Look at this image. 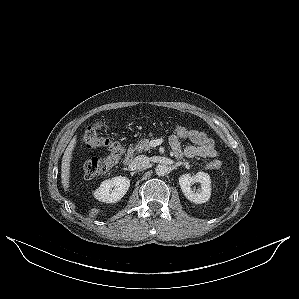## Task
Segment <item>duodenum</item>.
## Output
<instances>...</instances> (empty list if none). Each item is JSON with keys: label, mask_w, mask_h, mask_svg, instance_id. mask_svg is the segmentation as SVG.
<instances>
[{"label": "duodenum", "mask_w": 299, "mask_h": 299, "mask_svg": "<svg viewBox=\"0 0 299 299\" xmlns=\"http://www.w3.org/2000/svg\"><path fill=\"white\" fill-rule=\"evenodd\" d=\"M132 159H133V151H132V149H128L123 158L124 165L131 164Z\"/></svg>", "instance_id": "duodenum-1"}]
</instances>
